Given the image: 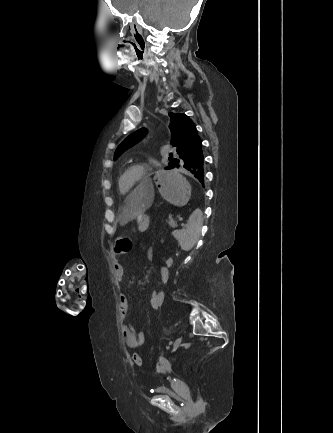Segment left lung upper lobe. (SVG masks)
<instances>
[{
  "mask_svg": "<svg viewBox=\"0 0 333 433\" xmlns=\"http://www.w3.org/2000/svg\"><path fill=\"white\" fill-rule=\"evenodd\" d=\"M171 118V144L176 147L177 156L169 162L165 169H173V162L183 153L186 149L199 140V136L192 120L185 114L169 113ZM146 130L140 129L135 133L129 135L116 149L114 160H116L125 150L139 142L145 135Z\"/></svg>",
  "mask_w": 333,
  "mask_h": 433,
  "instance_id": "1",
  "label": "left lung upper lobe"
}]
</instances>
